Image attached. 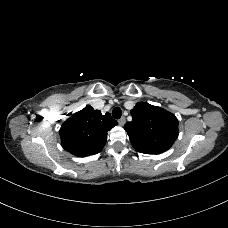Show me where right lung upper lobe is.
I'll return each instance as SVG.
<instances>
[{"label":"right lung upper lobe","mask_w":228,"mask_h":228,"mask_svg":"<svg viewBox=\"0 0 228 228\" xmlns=\"http://www.w3.org/2000/svg\"><path fill=\"white\" fill-rule=\"evenodd\" d=\"M118 123L110 113L105 115L90 105L73 114L61 126L62 147L77 157L99 153L107 140V132Z\"/></svg>","instance_id":"1"}]
</instances>
